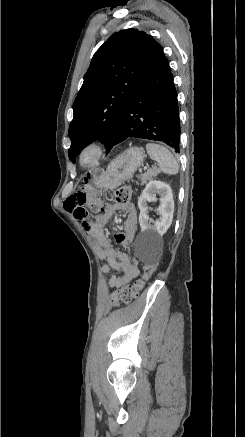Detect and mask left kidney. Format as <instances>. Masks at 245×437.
Segmentation results:
<instances>
[{
	"instance_id": "5707ae66",
	"label": "left kidney",
	"mask_w": 245,
	"mask_h": 437,
	"mask_svg": "<svg viewBox=\"0 0 245 437\" xmlns=\"http://www.w3.org/2000/svg\"><path fill=\"white\" fill-rule=\"evenodd\" d=\"M156 194L160 196V205L156 209L159 219L153 222L148 216V202L156 201ZM138 207L140 209L139 223L142 234L153 239L163 236L172 224L174 213L173 194L169 184L157 180L150 181L139 197ZM151 222L154 225H151Z\"/></svg>"
}]
</instances>
